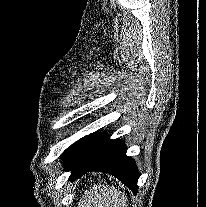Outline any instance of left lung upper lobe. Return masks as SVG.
Instances as JSON below:
<instances>
[{"label": "left lung upper lobe", "instance_id": "obj_1", "mask_svg": "<svg viewBox=\"0 0 206 207\" xmlns=\"http://www.w3.org/2000/svg\"><path fill=\"white\" fill-rule=\"evenodd\" d=\"M86 138L87 136L79 139L65 150V152L63 153L64 161H67L70 157H72L77 152V150L83 145Z\"/></svg>", "mask_w": 206, "mask_h": 207}]
</instances>
